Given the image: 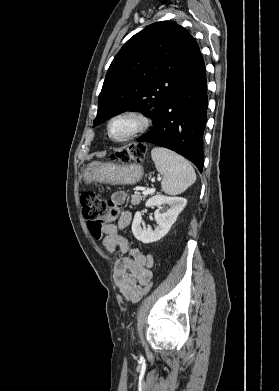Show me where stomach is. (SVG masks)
Instances as JSON below:
<instances>
[{
    "label": "stomach",
    "mask_w": 279,
    "mask_h": 391,
    "mask_svg": "<svg viewBox=\"0 0 279 391\" xmlns=\"http://www.w3.org/2000/svg\"><path fill=\"white\" fill-rule=\"evenodd\" d=\"M143 173V167L137 163L120 165L95 161L86 166L82 176L86 184L99 182L114 185H132L141 180Z\"/></svg>",
    "instance_id": "1"
}]
</instances>
